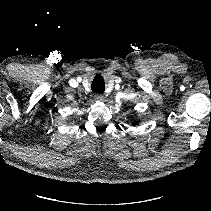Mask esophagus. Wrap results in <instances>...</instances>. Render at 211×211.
<instances>
[{
	"instance_id": "obj_1",
	"label": "esophagus",
	"mask_w": 211,
	"mask_h": 211,
	"mask_svg": "<svg viewBox=\"0 0 211 211\" xmlns=\"http://www.w3.org/2000/svg\"><path fill=\"white\" fill-rule=\"evenodd\" d=\"M95 99L98 100V101H104L105 100V97L101 94H96L95 95Z\"/></svg>"
}]
</instances>
